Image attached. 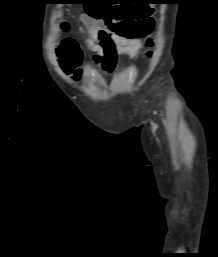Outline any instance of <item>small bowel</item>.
Segmentation results:
<instances>
[{
    "instance_id": "small-bowel-1",
    "label": "small bowel",
    "mask_w": 218,
    "mask_h": 257,
    "mask_svg": "<svg viewBox=\"0 0 218 257\" xmlns=\"http://www.w3.org/2000/svg\"><path fill=\"white\" fill-rule=\"evenodd\" d=\"M81 22L79 30L86 35L88 48L94 51L89 52L91 64H102L101 73H119L118 57L133 58L143 46L139 38H128L115 33L102 19L83 14ZM80 74L81 70H77L76 76Z\"/></svg>"
}]
</instances>
